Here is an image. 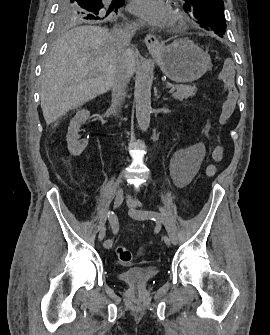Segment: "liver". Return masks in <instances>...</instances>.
<instances>
[{
    "mask_svg": "<svg viewBox=\"0 0 270 335\" xmlns=\"http://www.w3.org/2000/svg\"><path fill=\"white\" fill-rule=\"evenodd\" d=\"M135 66L133 48L119 46L106 28L79 26L65 32L49 48L41 76L46 124L108 92L116 70H126L131 78Z\"/></svg>",
    "mask_w": 270,
    "mask_h": 335,
    "instance_id": "liver-1",
    "label": "liver"
}]
</instances>
